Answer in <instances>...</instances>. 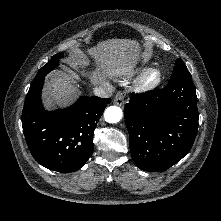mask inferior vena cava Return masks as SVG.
<instances>
[{"mask_svg":"<svg viewBox=\"0 0 221 221\" xmlns=\"http://www.w3.org/2000/svg\"><path fill=\"white\" fill-rule=\"evenodd\" d=\"M93 93L96 96L107 98L110 97L112 94V85L109 83H105L103 85L97 86L93 88Z\"/></svg>","mask_w":221,"mask_h":221,"instance_id":"obj_1","label":"inferior vena cava"}]
</instances>
